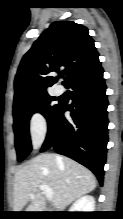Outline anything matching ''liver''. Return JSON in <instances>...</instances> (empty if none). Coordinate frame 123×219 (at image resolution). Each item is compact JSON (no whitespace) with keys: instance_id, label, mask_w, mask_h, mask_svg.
Here are the masks:
<instances>
[{"instance_id":"liver-1","label":"liver","mask_w":123,"mask_h":219,"mask_svg":"<svg viewBox=\"0 0 123 219\" xmlns=\"http://www.w3.org/2000/svg\"><path fill=\"white\" fill-rule=\"evenodd\" d=\"M41 185L53 190V205L60 210L96 188L94 174L76 161L57 154H40L21 167L14 178V212H43Z\"/></svg>"}]
</instances>
